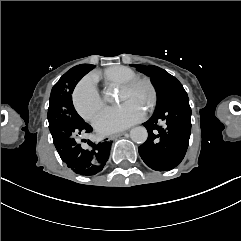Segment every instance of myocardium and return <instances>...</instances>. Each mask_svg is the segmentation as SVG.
Wrapping results in <instances>:
<instances>
[{"instance_id": "1", "label": "myocardium", "mask_w": 241, "mask_h": 241, "mask_svg": "<svg viewBox=\"0 0 241 241\" xmlns=\"http://www.w3.org/2000/svg\"><path fill=\"white\" fill-rule=\"evenodd\" d=\"M140 76V75H137ZM136 75L130 76L128 78H126L123 83L122 86L123 87H130L132 84H136L139 80V78ZM143 76V75H142ZM145 76V75H144ZM151 78V77H150ZM156 83V81H154ZM156 91H157V86H156ZM156 95V94H155ZM156 98V96H155ZM155 100V99H154ZM154 104V103H153ZM152 107V106H151Z\"/></svg>"}]
</instances>
